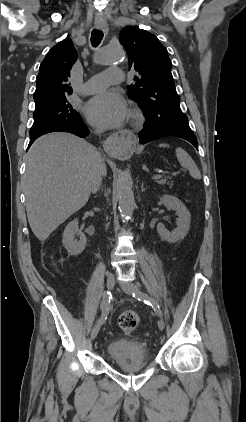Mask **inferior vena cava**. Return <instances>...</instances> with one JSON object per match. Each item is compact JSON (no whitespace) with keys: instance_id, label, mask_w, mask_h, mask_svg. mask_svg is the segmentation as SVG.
I'll use <instances>...</instances> for the list:
<instances>
[{"instance_id":"602c4592","label":"inferior vena cava","mask_w":246,"mask_h":422,"mask_svg":"<svg viewBox=\"0 0 246 422\" xmlns=\"http://www.w3.org/2000/svg\"><path fill=\"white\" fill-rule=\"evenodd\" d=\"M93 155L95 157L96 162L92 173L91 190L93 193H95L102 183V176L105 174L102 168V159L100 153L97 150H94Z\"/></svg>"}]
</instances>
